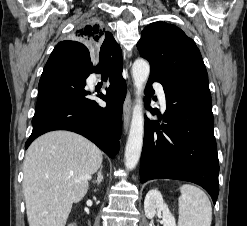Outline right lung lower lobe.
<instances>
[{
    "mask_svg": "<svg viewBox=\"0 0 247 226\" xmlns=\"http://www.w3.org/2000/svg\"><path fill=\"white\" fill-rule=\"evenodd\" d=\"M99 58L98 67H93L87 47L78 41L55 46L39 81L33 130L25 148L46 132L69 130L88 138L114 158L120 146L126 83L122 67H111L107 58ZM93 72H103L111 80L107 94L98 95L107 102L106 108L90 99L91 92L85 90L86 78Z\"/></svg>",
    "mask_w": 247,
    "mask_h": 226,
    "instance_id": "98d812e1",
    "label": "right lung lower lobe"
}]
</instances>
